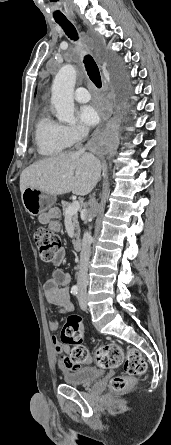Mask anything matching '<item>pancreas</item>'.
I'll return each mask as SVG.
<instances>
[{"label":"pancreas","instance_id":"obj_1","mask_svg":"<svg viewBox=\"0 0 171 445\" xmlns=\"http://www.w3.org/2000/svg\"><path fill=\"white\" fill-rule=\"evenodd\" d=\"M69 206H70V204H69L68 202L62 201V208H63V214H64V215H65V211H66V209H67ZM72 221H73V226H74V228H75V230H76L75 237H76V238H79V236H80V227H79V222H78V215H77V213L74 214V215L72 216Z\"/></svg>","mask_w":171,"mask_h":445}]
</instances>
